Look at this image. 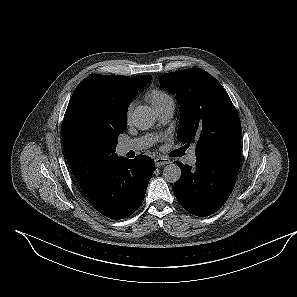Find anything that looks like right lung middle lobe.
I'll return each mask as SVG.
<instances>
[{
	"label": "right lung middle lobe",
	"instance_id": "right-lung-middle-lobe-1",
	"mask_svg": "<svg viewBox=\"0 0 297 297\" xmlns=\"http://www.w3.org/2000/svg\"><path fill=\"white\" fill-rule=\"evenodd\" d=\"M126 130V122H123L119 125L114 131L110 133V135L104 140V144L111 148L112 150H116V145L118 143V135L122 134Z\"/></svg>",
	"mask_w": 297,
	"mask_h": 297
}]
</instances>
